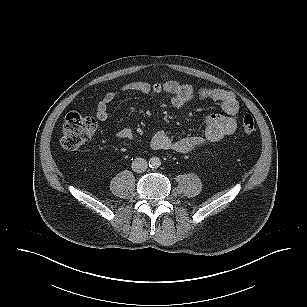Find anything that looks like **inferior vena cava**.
Listing matches in <instances>:
<instances>
[{
    "label": "inferior vena cava",
    "mask_w": 307,
    "mask_h": 307,
    "mask_svg": "<svg viewBox=\"0 0 307 307\" xmlns=\"http://www.w3.org/2000/svg\"><path fill=\"white\" fill-rule=\"evenodd\" d=\"M148 167L147 161L143 158H136L132 162V169L137 173H142L146 171Z\"/></svg>",
    "instance_id": "obj_1"
}]
</instances>
